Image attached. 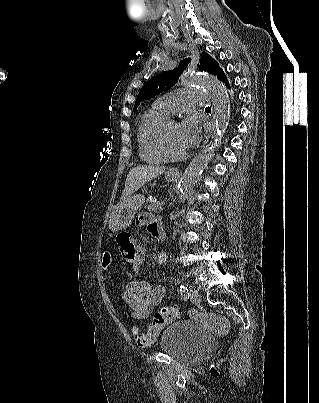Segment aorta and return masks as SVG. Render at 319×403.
<instances>
[{
  "mask_svg": "<svg viewBox=\"0 0 319 403\" xmlns=\"http://www.w3.org/2000/svg\"><path fill=\"white\" fill-rule=\"evenodd\" d=\"M182 83L186 86H199L205 89L212 99L215 112V131L212 135L213 141L200 151L186 168L182 176L179 185V194L184 196L195 185L203 169L213 156L216 146L223 138V134L229 124L230 100L225 86L214 76L190 75L184 77Z\"/></svg>",
  "mask_w": 319,
  "mask_h": 403,
  "instance_id": "762f6f07",
  "label": "aorta"
}]
</instances>
